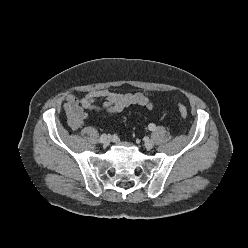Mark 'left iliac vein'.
<instances>
[{
	"label": "left iliac vein",
	"instance_id": "left-iliac-vein-1",
	"mask_svg": "<svg viewBox=\"0 0 248 248\" xmlns=\"http://www.w3.org/2000/svg\"><path fill=\"white\" fill-rule=\"evenodd\" d=\"M144 145L147 149H152L154 147V141L149 138H146L144 140Z\"/></svg>",
	"mask_w": 248,
	"mask_h": 248
}]
</instances>
